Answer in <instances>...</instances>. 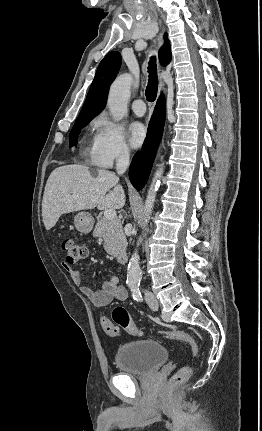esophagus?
Returning a JSON list of instances; mask_svg holds the SVG:
<instances>
[{
  "instance_id": "1",
  "label": "esophagus",
  "mask_w": 262,
  "mask_h": 431,
  "mask_svg": "<svg viewBox=\"0 0 262 431\" xmlns=\"http://www.w3.org/2000/svg\"><path fill=\"white\" fill-rule=\"evenodd\" d=\"M163 87H164V82H163V81H161V82H160V89H163Z\"/></svg>"
}]
</instances>
